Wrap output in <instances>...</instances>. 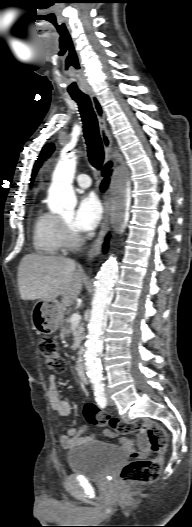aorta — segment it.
<instances>
[{
	"instance_id": "1",
	"label": "aorta",
	"mask_w": 192,
	"mask_h": 527,
	"mask_svg": "<svg viewBox=\"0 0 192 527\" xmlns=\"http://www.w3.org/2000/svg\"><path fill=\"white\" fill-rule=\"evenodd\" d=\"M74 152L63 155L58 161L52 176L49 189V207L55 213L73 212L77 199L72 183L76 170ZM119 201L126 205L129 200V172L126 167L120 169L116 179ZM117 277L116 258L110 256L102 265L96 277L95 294L92 300L91 316L86 340L85 367L93 384L102 380L101 354L103 350L104 331L107 324L108 306L113 298V286Z\"/></svg>"
}]
</instances>
